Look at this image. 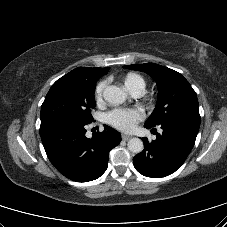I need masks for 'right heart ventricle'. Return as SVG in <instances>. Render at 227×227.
Masks as SVG:
<instances>
[{
	"label": "right heart ventricle",
	"mask_w": 227,
	"mask_h": 227,
	"mask_svg": "<svg viewBox=\"0 0 227 227\" xmlns=\"http://www.w3.org/2000/svg\"><path fill=\"white\" fill-rule=\"evenodd\" d=\"M124 83L131 92L138 87H145L144 79L136 73H128L124 78Z\"/></svg>",
	"instance_id": "right-heart-ventricle-1"
}]
</instances>
